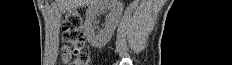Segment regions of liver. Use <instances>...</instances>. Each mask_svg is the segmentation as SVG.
I'll return each instance as SVG.
<instances>
[{
    "label": "liver",
    "instance_id": "obj_1",
    "mask_svg": "<svg viewBox=\"0 0 232 65\" xmlns=\"http://www.w3.org/2000/svg\"><path fill=\"white\" fill-rule=\"evenodd\" d=\"M96 0H58V6L61 11H71L89 4H93Z\"/></svg>",
    "mask_w": 232,
    "mask_h": 65
}]
</instances>
